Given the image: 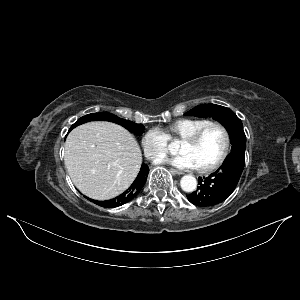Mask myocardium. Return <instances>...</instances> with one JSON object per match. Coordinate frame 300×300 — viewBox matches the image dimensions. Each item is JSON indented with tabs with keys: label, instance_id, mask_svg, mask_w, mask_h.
Returning <instances> with one entry per match:
<instances>
[{
	"label": "myocardium",
	"instance_id": "obj_1",
	"mask_svg": "<svg viewBox=\"0 0 300 300\" xmlns=\"http://www.w3.org/2000/svg\"><path fill=\"white\" fill-rule=\"evenodd\" d=\"M213 126L219 127L223 131L224 139H225L224 148H223L221 155L219 156V158L216 161H214L210 165L197 168L198 172H200V173L212 172V171L218 169L224 163V161L226 160V158L229 155L230 147H231L230 132H229L228 128L226 127V125H224L222 122L210 121L207 124H205L204 126H202L201 128H199L197 131H195L193 134H191L190 136L183 139V142H186L189 144H196L202 138L204 133Z\"/></svg>",
	"mask_w": 300,
	"mask_h": 300
}]
</instances>
